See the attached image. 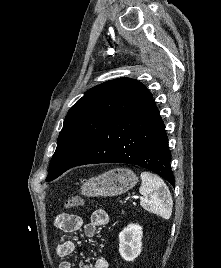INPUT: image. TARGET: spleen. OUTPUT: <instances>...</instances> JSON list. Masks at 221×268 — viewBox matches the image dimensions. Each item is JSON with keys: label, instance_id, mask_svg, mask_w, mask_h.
<instances>
[{"label": "spleen", "instance_id": "obj_1", "mask_svg": "<svg viewBox=\"0 0 221 268\" xmlns=\"http://www.w3.org/2000/svg\"><path fill=\"white\" fill-rule=\"evenodd\" d=\"M140 177L142 183L139 191L143 195L140 205L151 213L169 219L173 201L167 185L160 177L147 171L142 172Z\"/></svg>", "mask_w": 221, "mask_h": 268}]
</instances>
